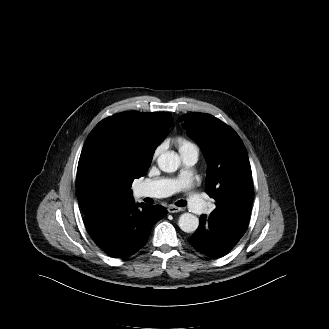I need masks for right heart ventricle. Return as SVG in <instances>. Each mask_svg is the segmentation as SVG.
<instances>
[{
	"label": "right heart ventricle",
	"instance_id": "right-heart-ventricle-1",
	"mask_svg": "<svg viewBox=\"0 0 329 329\" xmlns=\"http://www.w3.org/2000/svg\"><path fill=\"white\" fill-rule=\"evenodd\" d=\"M175 143L181 154L188 151L193 146V144L191 142H189L188 140H186L184 138H177L175 140Z\"/></svg>",
	"mask_w": 329,
	"mask_h": 329
}]
</instances>
